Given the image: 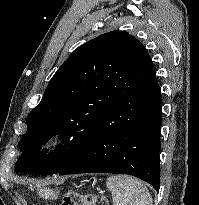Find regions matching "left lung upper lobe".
Here are the masks:
<instances>
[{"instance_id":"obj_1","label":"left lung upper lobe","mask_w":199,"mask_h":205,"mask_svg":"<svg viewBox=\"0 0 199 205\" xmlns=\"http://www.w3.org/2000/svg\"><path fill=\"white\" fill-rule=\"evenodd\" d=\"M144 46L125 31H111L71 53L29 113L16 172L57 174L85 150L101 120L128 89ZM65 145L39 151L54 134Z\"/></svg>"}]
</instances>
